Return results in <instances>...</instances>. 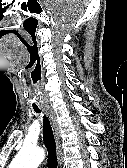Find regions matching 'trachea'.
Instances as JSON below:
<instances>
[{"instance_id":"obj_1","label":"trachea","mask_w":127,"mask_h":168,"mask_svg":"<svg viewBox=\"0 0 127 168\" xmlns=\"http://www.w3.org/2000/svg\"><path fill=\"white\" fill-rule=\"evenodd\" d=\"M33 109L36 113H40L37 106H33ZM43 141L48 151V168H58L54 134L50 121L46 116H43Z\"/></svg>"}]
</instances>
